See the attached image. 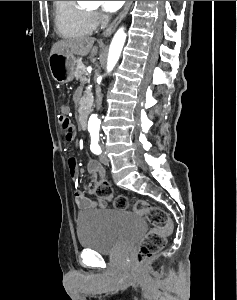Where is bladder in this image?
Masks as SVG:
<instances>
[{
  "label": "bladder",
  "instance_id": "31cf9c89",
  "mask_svg": "<svg viewBox=\"0 0 237 300\" xmlns=\"http://www.w3.org/2000/svg\"><path fill=\"white\" fill-rule=\"evenodd\" d=\"M145 231L138 215L126 210L84 212L79 215L76 235L81 247L100 254H116L132 245Z\"/></svg>",
  "mask_w": 237,
  "mask_h": 300
}]
</instances>
